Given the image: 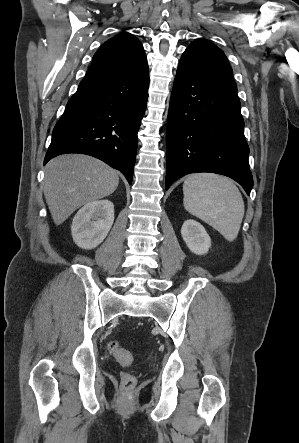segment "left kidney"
<instances>
[{
    "label": "left kidney",
    "mask_w": 299,
    "mask_h": 443,
    "mask_svg": "<svg viewBox=\"0 0 299 443\" xmlns=\"http://www.w3.org/2000/svg\"><path fill=\"white\" fill-rule=\"evenodd\" d=\"M181 235L186 245L197 255L206 254L211 247V239L205 228L195 220H186L181 228Z\"/></svg>",
    "instance_id": "obj_1"
}]
</instances>
